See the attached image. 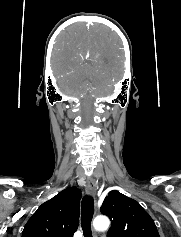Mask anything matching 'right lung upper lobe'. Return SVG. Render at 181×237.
Instances as JSON below:
<instances>
[{"label":"right lung upper lobe","mask_w":181,"mask_h":237,"mask_svg":"<svg viewBox=\"0 0 181 237\" xmlns=\"http://www.w3.org/2000/svg\"><path fill=\"white\" fill-rule=\"evenodd\" d=\"M81 191L68 187L37 209L22 237H73L79 225Z\"/></svg>","instance_id":"1"}]
</instances>
